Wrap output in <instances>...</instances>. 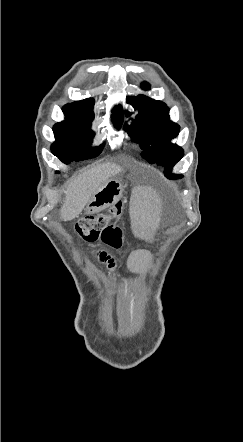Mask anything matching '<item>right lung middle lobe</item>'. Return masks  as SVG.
Instances as JSON below:
<instances>
[{"label":"right lung middle lobe","instance_id":"obj_1","mask_svg":"<svg viewBox=\"0 0 243 442\" xmlns=\"http://www.w3.org/2000/svg\"><path fill=\"white\" fill-rule=\"evenodd\" d=\"M64 114L67 119L53 127L56 142L51 146L52 153L66 164L99 155L103 144L94 148L90 147L94 137V132L91 130L92 120L72 116L65 112Z\"/></svg>","mask_w":243,"mask_h":442}]
</instances>
